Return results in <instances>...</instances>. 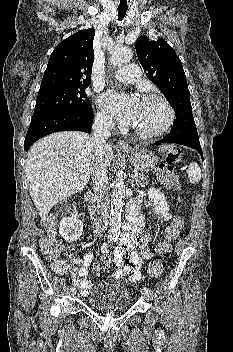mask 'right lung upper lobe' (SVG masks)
I'll list each match as a JSON object with an SVG mask.
<instances>
[{
	"label": "right lung upper lobe",
	"mask_w": 233,
	"mask_h": 352,
	"mask_svg": "<svg viewBox=\"0 0 233 352\" xmlns=\"http://www.w3.org/2000/svg\"><path fill=\"white\" fill-rule=\"evenodd\" d=\"M94 35L93 28L81 30L58 44L49 58L41 87L89 85Z\"/></svg>",
	"instance_id": "right-lung-upper-lobe-1"
}]
</instances>
